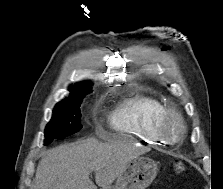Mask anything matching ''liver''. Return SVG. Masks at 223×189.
I'll return each instance as SVG.
<instances>
[{
  "label": "liver",
  "mask_w": 223,
  "mask_h": 189,
  "mask_svg": "<svg viewBox=\"0 0 223 189\" xmlns=\"http://www.w3.org/2000/svg\"><path fill=\"white\" fill-rule=\"evenodd\" d=\"M143 151L135 146L89 138L48 150L38 164L33 189H107Z\"/></svg>",
  "instance_id": "liver-1"
}]
</instances>
